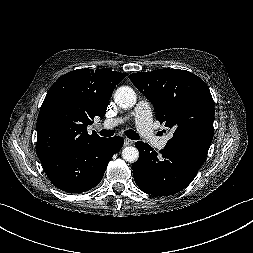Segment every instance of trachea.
Here are the masks:
<instances>
[{"instance_id":"obj_1","label":"trachea","mask_w":253,"mask_h":253,"mask_svg":"<svg viewBox=\"0 0 253 253\" xmlns=\"http://www.w3.org/2000/svg\"><path fill=\"white\" fill-rule=\"evenodd\" d=\"M99 133L101 136H104V137H110V136L114 135L113 130H105L104 129V130H101ZM125 135L129 139H132V140H138L140 138V136L134 130H127L125 132Z\"/></svg>"}]
</instances>
